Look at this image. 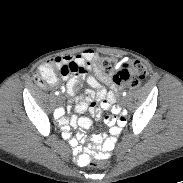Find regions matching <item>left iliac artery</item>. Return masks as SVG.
<instances>
[{"label": "left iliac artery", "instance_id": "obj_1", "mask_svg": "<svg viewBox=\"0 0 183 183\" xmlns=\"http://www.w3.org/2000/svg\"><path fill=\"white\" fill-rule=\"evenodd\" d=\"M127 95V93L126 92H123V96H126Z\"/></svg>", "mask_w": 183, "mask_h": 183}]
</instances>
